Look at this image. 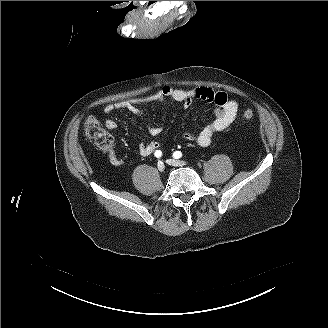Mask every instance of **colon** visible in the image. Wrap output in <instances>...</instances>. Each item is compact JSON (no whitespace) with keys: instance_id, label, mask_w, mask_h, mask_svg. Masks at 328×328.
<instances>
[{"instance_id":"5ec220e1","label":"colon","mask_w":328,"mask_h":328,"mask_svg":"<svg viewBox=\"0 0 328 328\" xmlns=\"http://www.w3.org/2000/svg\"><path fill=\"white\" fill-rule=\"evenodd\" d=\"M253 116L254 112L252 109L248 108L243 111V117L245 119H251ZM84 134L87 138L93 140L95 145L101 150L106 151L113 144L112 136L101 128L99 121L94 117L86 119L84 124Z\"/></svg>"}]
</instances>
